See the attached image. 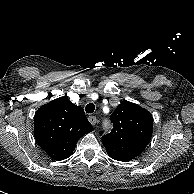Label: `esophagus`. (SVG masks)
Listing matches in <instances>:
<instances>
[{"label":"esophagus","mask_w":194,"mask_h":194,"mask_svg":"<svg viewBox=\"0 0 194 194\" xmlns=\"http://www.w3.org/2000/svg\"><path fill=\"white\" fill-rule=\"evenodd\" d=\"M89 122L92 124V125H96L97 123V118L95 116H89Z\"/></svg>","instance_id":"obj_1"}]
</instances>
